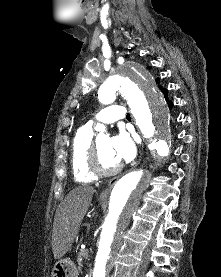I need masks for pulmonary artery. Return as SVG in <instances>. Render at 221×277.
<instances>
[{
	"label": "pulmonary artery",
	"mask_w": 221,
	"mask_h": 277,
	"mask_svg": "<svg viewBox=\"0 0 221 277\" xmlns=\"http://www.w3.org/2000/svg\"><path fill=\"white\" fill-rule=\"evenodd\" d=\"M126 116L125 108L121 105H110L97 113L95 118L87 123L86 126L92 127L96 122L113 123L124 119Z\"/></svg>",
	"instance_id": "1"
}]
</instances>
